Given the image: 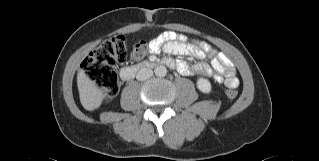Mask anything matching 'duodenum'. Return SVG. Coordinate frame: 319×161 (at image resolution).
Returning <instances> with one entry per match:
<instances>
[{"instance_id": "410a0bca", "label": "duodenum", "mask_w": 319, "mask_h": 161, "mask_svg": "<svg viewBox=\"0 0 319 161\" xmlns=\"http://www.w3.org/2000/svg\"><path fill=\"white\" fill-rule=\"evenodd\" d=\"M157 65H166L170 68H174L175 64L171 59H164L162 61L149 60L134 66H126L120 70V76L122 80L128 81L133 78L138 72L154 68Z\"/></svg>"}]
</instances>
